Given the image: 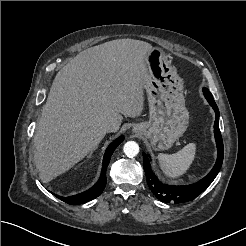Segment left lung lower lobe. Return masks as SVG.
Returning <instances> with one entry per match:
<instances>
[{"mask_svg": "<svg viewBox=\"0 0 246 246\" xmlns=\"http://www.w3.org/2000/svg\"><path fill=\"white\" fill-rule=\"evenodd\" d=\"M203 93L209 104L213 107L216 119L214 123V134L217 143L218 157L215 166L202 180L185 186H170L161 183L151 170L148 156L143 153V167L146 174L147 184L153 194L161 201L166 203H183L194 200L200 195L215 179L223 162V141L219 129V110L213 99L212 94L206 88Z\"/></svg>", "mask_w": 246, "mask_h": 246, "instance_id": "obj_1", "label": "left lung lower lobe"}]
</instances>
